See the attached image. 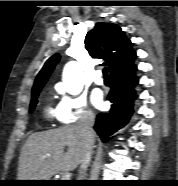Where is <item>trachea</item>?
I'll return each instance as SVG.
<instances>
[{
	"mask_svg": "<svg viewBox=\"0 0 178 186\" xmlns=\"http://www.w3.org/2000/svg\"><path fill=\"white\" fill-rule=\"evenodd\" d=\"M103 75L104 78H108V69L106 67L103 69Z\"/></svg>",
	"mask_w": 178,
	"mask_h": 186,
	"instance_id": "1",
	"label": "trachea"
}]
</instances>
